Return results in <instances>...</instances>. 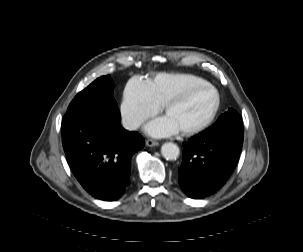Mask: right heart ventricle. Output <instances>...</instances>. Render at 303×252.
<instances>
[{"label": "right heart ventricle", "mask_w": 303, "mask_h": 252, "mask_svg": "<svg viewBox=\"0 0 303 252\" xmlns=\"http://www.w3.org/2000/svg\"><path fill=\"white\" fill-rule=\"evenodd\" d=\"M201 82L202 79L190 75L160 74L145 86L151 99L163 106L170 100L182 97Z\"/></svg>", "instance_id": "right-heart-ventricle-1"}]
</instances>
